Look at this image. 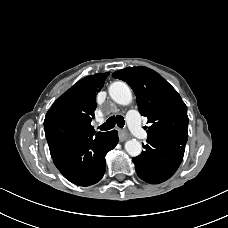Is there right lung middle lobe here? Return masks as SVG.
Returning a JSON list of instances; mask_svg holds the SVG:
<instances>
[{
	"instance_id": "1",
	"label": "right lung middle lobe",
	"mask_w": 228,
	"mask_h": 228,
	"mask_svg": "<svg viewBox=\"0 0 228 228\" xmlns=\"http://www.w3.org/2000/svg\"><path fill=\"white\" fill-rule=\"evenodd\" d=\"M45 134L49 147H53L67 140L68 138L72 137L77 133L74 125L68 122L61 125L49 127L45 131Z\"/></svg>"
}]
</instances>
